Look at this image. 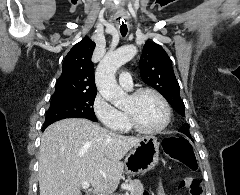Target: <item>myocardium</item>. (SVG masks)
I'll return each mask as SVG.
<instances>
[{
	"instance_id": "myocardium-1",
	"label": "myocardium",
	"mask_w": 240,
	"mask_h": 195,
	"mask_svg": "<svg viewBox=\"0 0 240 195\" xmlns=\"http://www.w3.org/2000/svg\"><path fill=\"white\" fill-rule=\"evenodd\" d=\"M146 93H151V94L155 95L159 99L160 103L162 104L164 116H163V121L159 126H157L155 128H147V127L142 126L139 123V121L135 115V112L131 108H124V114L126 116L128 125L131 128H133L135 131L142 133V134H157V133H160L161 131H163L170 122V116H171L170 106L162 93H160L156 89L149 88V87L140 88V89L136 90L130 96V100L132 102H136L143 94H146Z\"/></svg>"
}]
</instances>
